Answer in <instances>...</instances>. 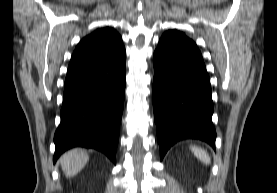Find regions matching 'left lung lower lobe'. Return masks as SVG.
I'll use <instances>...</instances> for the list:
<instances>
[{
    "label": "left lung lower lobe",
    "instance_id": "left-lung-lower-lobe-1",
    "mask_svg": "<svg viewBox=\"0 0 277 193\" xmlns=\"http://www.w3.org/2000/svg\"><path fill=\"white\" fill-rule=\"evenodd\" d=\"M153 64V109L161 159L183 139H200L215 148L210 79L197 46L163 35Z\"/></svg>",
    "mask_w": 277,
    "mask_h": 193
}]
</instances>
